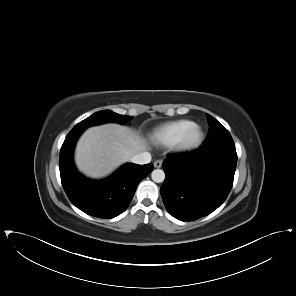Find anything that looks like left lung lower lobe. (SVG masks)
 I'll use <instances>...</instances> for the list:
<instances>
[{
    "instance_id": "left-lung-lower-lobe-1",
    "label": "left lung lower lobe",
    "mask_w": 296,
    "mask_h": 296,
    "mask_svg": "<svg viewBox=\"0 0 296 296\" xmlns=\"http://www.w3.org/2000/svg\"><path fill=\"white\" fill-rule=\"evenodd\" d=\"M237 164L235 149L173 154L163 162L161 196L167 211L181 221H193L216 210L227 198Z\"/></svg>"
}]
</instances>
